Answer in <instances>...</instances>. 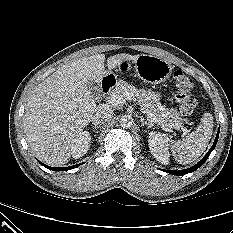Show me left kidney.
<instances>
[{
  "label": "left kidney",
  "mask_w": 233,
  "mask_h": 233,
  "mask_svg": "<svg viewBox=\"0 0 233 233\" xmlns=\"http://www.w3.org/2000/svg\"><path fill=\"white\" fill-rule=\"evenodd\" d=\"M149 148L152 155L162 164L169 163V151H168V137L165 134L159 132H151L149 134Z\"/></svg>",
  "instance_id": "5707ae66"
}]
</instances>
